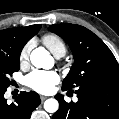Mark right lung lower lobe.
Masks as SVG:
<instances>
[{
    "label": "right lung lower lobe",
    "mask_w": 119,
    "mask_h": 119,
    "mask_svg": "<svg viewBox=\"0 0 119 119\" xmlns=\"http://www.w3.org/2000/svg\"><path fill=\"white\" fill-rule=\"evenodd\" d=\"M6 89H0V119H30L32 111L40 104L39 95L34 92H21L16 103L8 104L4 98Z\"/></svg>",
    "instance_id": "obj_1"
}]
</instances>
